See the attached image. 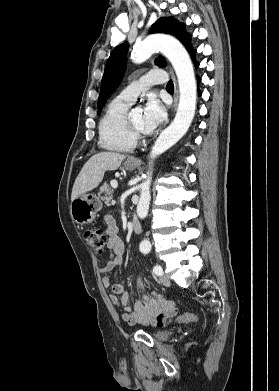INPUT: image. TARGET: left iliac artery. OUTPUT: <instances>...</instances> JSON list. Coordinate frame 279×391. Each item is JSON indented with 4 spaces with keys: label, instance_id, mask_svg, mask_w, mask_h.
<instances>
[{
    "label": "left iliac artery",
    "instance_id": "obj_1",
    "mask_svg": "<svg viewBox=\"0 0 279 391\" xmlns=\"http://www.w3.org/2000/svg\"><path fill=\"white\" fill-rule=\"evenodd\" d=\"M153 272L157 276H161L163 274L162 268L159 265L154 266Z\"/></svg>",
    "mask_w": 279,
    "mask_h": 391
}]
</instances>
